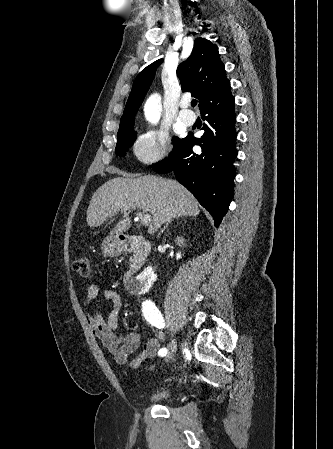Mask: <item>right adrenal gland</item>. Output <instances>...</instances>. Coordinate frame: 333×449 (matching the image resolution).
Returning <instances> with one entry per match:
<instances>
[{
	"mask_svg": "<svg viewBox=\"0 0 333 449\" xmlns=\"http://www.w3.org/2000/svg\"><path fill=\"white\" fill-rule=\"evenodd\" d=\"M177 218H178V217H177ZM177 218H176V219H177ZM169 223H171V220H169V221L165 224V226H164V228L161 230V232H163V231L165 230V228L168 226Z\"/></svg>",
	"mask_w": 333,
	"mask_h": 449,
	"instance_id": "right-adrenal-gland-1",
	"label": "right adrenal gland"
}]
</instances>
